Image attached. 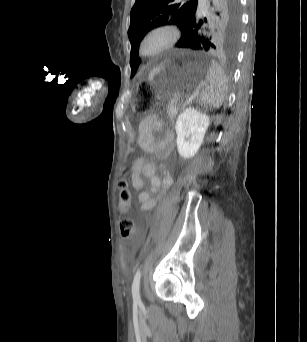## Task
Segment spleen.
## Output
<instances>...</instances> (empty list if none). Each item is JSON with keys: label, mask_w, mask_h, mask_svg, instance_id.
<instances>
[{"label": "spleen", "mask_w": 307, "mask_h": 342, "mask_svg": "<svg viewBox=\"0 0 307 342\" xmlns=\"http://www.w3.org/2000/svg\"><path fill=\"white\" fill-rule=\"evenodd\" d=\"M214 58L210 59L213 63L210 65L206 76V82L204 90L200 94V102H203L205 108L210 110L211 108H220L227 96V80L226 76L215 62Z\"/></svg>", "instance_id": "obj_1"}]
</instances>
